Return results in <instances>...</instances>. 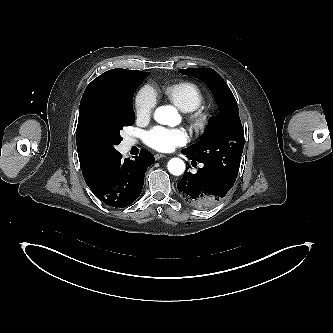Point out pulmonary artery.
<instances>
[{
    "label": "pulmonary artery",
    "mask_w": 333,
    "mask_h": 333,
    "mask_svg": "<svg viewBox=\"0 0 333 333\" xmlns=\"http://www.w3.org/2000/svg\"><path fill=\"white\" fill-rule=\"evenodd\" d=\"M127 144H128L129 146H132V145L135 144V140H134V139H128V140H127Z\"/></svg>",
    "instance_id": "obj_1"
}]
</instances>
